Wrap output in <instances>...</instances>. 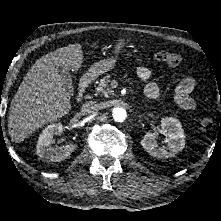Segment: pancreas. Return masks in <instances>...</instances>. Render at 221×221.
<instances>
[{
    "label": "pancreas",
    "mask_w": 221,
    "mask_h": 221,
    "mask_svg": "<svg viewBox=\"0 0 221 221\" xmlns=\"http://www.w3.org/2000/svg\"><path fill=\"white\" fill-rule=\"evenodd\" d=\"M110 79V75H107L100 80L99 85L96 87V94H101L105 97H108V95L113 94V91L108 88V82H110Z\"/></svg>",
    "instance_id": "1"
}]
</instances>
